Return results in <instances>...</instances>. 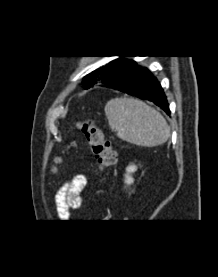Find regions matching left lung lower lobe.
I'll use <instances>...</instances> for the list:
<instances>
[{
	"mask_svg": "<svg viewBox=\"0 0 218 277\" xmlns=\"http://www.w3.org/2000/svg\"><path fill=\"white\" fill-rule=\"evenodd\" d=\"M101 83L123 93L150 100L170 114L169 105L160 83L148 69L138 66L134 61L113 72Z\"/></svg>",
	"mask_w": 218,
	"mask_h": 277,
	"instance_id": "left-lung-lower-lobe-1",
	"label": "left lung lower lobe"
}]
</instances>
